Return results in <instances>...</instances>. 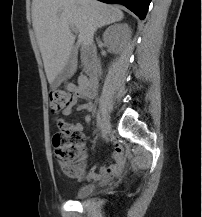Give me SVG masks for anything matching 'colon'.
<instances>
[{"mask_svg": "<svg viewBox=\"0 0 202 217\" xmlns=\"http://www.w3.org/2000/svg\"><path fill=\"white\" fill-rule=\"evenodd\" d=\"M74 102L73 95L61 89H54L49 94L50 111L57 115ZM54 153L62 173L69 178L79 176L84 170L83 152L84 135L66 122H58V130L53 135Z\"/></svg>", "mask_w": 202, "mask_h": 217, "instance_id": "colon-1", "label": "colon"}]
</instances>
